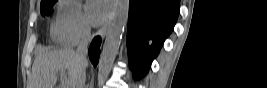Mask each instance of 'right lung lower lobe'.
<instances>
[{
	"label": "right lung lower lobe",
	"instance_id": "98d812e1",
	"mask_svg": "<svg viewBox=\"0 0 267 88\" xmlns=\"http://www.w3.org/2000/svg\"><path fill=\"white\" fill-rule=\"evenodd\" d=\"M100 44H101V38L100 37H96L92 43L90 44V48H89V58L91 60V62L93 63L94 66L97 65L98 61H99V48H100Z\"/></svg>",
	"mask_w": 267,
	"mask_h": 88
}]
</instances>
